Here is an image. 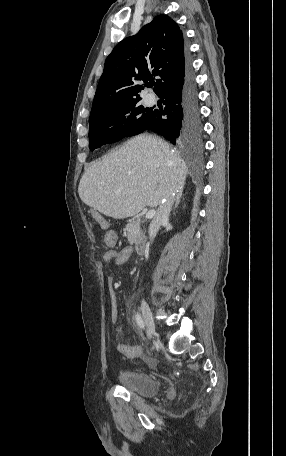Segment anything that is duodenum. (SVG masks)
Masks as SVG:
<instances>
[{
	"instance_id": "1",
	"label": "duodenum",
	"mask_w": 286,
	"mask_h": 456,
	"mask_svg": "<svg viewBox=\"0 0 286 456\" xmlns=\"http://www.w3.org/2000/svg\"><path fill=\"white\" fill-rule=\"evenodd\" d=\"M145 247H146V240L144 238L140 239L139 241H137L136 245H135V248H136V252L138 254H141L144 252L145 250Z\"/></svg>"
}]
</instances>
